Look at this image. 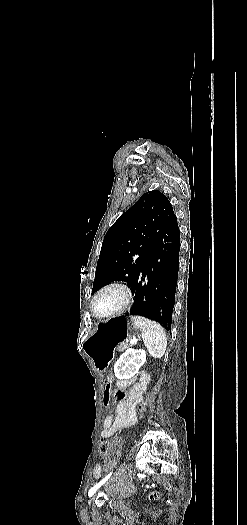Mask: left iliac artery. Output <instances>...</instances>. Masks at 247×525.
Listing matches in <instances>:
<instances>
[{
    "label": "left iliac artery",
    "instance_id": "44dca946",
    "mask_svg": "<svg viewBox=\"0 0 247 525\" xmlns=\"http://www.w3.org/2000/svg\"><path fill=\"white\" fill-rule=\"evenodd\" d=\"M111 474L112 473L108 474L103 480H101L99 483L90 488L88 496L91 497L97 491V489L101 487L110 478Z\"/></svg>",
    "mask_w": 247,
    "mask_h": 525
}]
</instances>
